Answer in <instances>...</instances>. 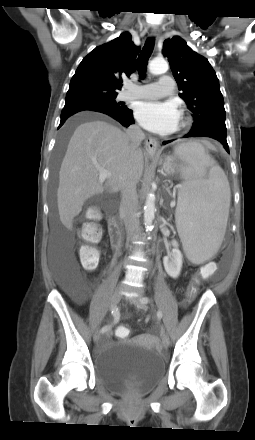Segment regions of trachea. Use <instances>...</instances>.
<instances>
[{
    "instance_id": "1",
    "label": "trachea",
    "mask_w": 255,
    "mask_h": 440,
    "mask_svg": "<svg viewBox=\"0 0 255 440\" xmlns=\"http://www.w3.org/2000/svg\"><path fill=\"white\" fill-rule=\"evenodd\" d=\"M154 48V39L149 38L138 56L137 67L141 78L145 77L148 60Z\"/></svg>"
}]
</instances>
